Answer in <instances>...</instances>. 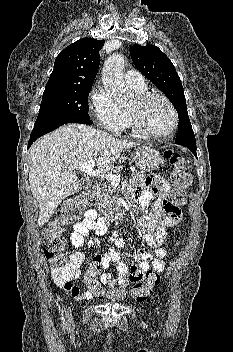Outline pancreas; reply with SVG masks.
I'll list each match as a JSON object with an SVG mask.
<instances>
[{
	"instance_id": "1",
	"label": "pancreas",
	"mask_w": 233,
	"mask_h": 352,
	"mask_svg": "<svg viewBox=\"0 0 233 352\" xmlns=\"http://www.w3.org/2000/svg\"><path fill=\"white\" fill-rule=\"evenodd\" d=\"M145 174L143 172L132 173V181L139 182L143 181ZM116 187L111 183H106L97 193H96V203L95 205L101 211L108 212L111 211L113 206L116 204L117 195Z\"/></svg>"
}]
</instances>
